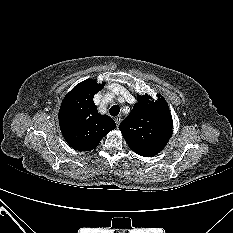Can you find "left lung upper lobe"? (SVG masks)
<instances>
[{"mask_svg":"<svg viewBox=\"0 0 233 233\" xmlns=\"http://www.w3.org/2000/svg\"><path fill=\"white\" fill-rule=\"evenodd\" d=\"M172 116L166 100L148 95L138 96L130 114L119 129L129 148L136 154L152 157L158 154L172 136Z\"/></svg>","mask_w":233,"mask_h":233,"instance_id":"1","label":"left lung upper lobe"}]
</instances>
